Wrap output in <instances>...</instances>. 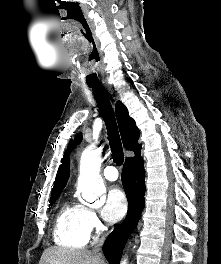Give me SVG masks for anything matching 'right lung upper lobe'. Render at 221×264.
Returning a JSON list of instances; mask_svg holds the SVG:
<instances>
[{
    "instance_id": "1",
    "label": "right lung upper lobe",
    "mask_w": 221,
    "mask_h": 264,
    "mask_svg": "<svg viewBox=\"0 0 221 264\" xmlns=\"http://www.w3.org/2000/svg\"><path fill=\"white\" fill-rule=\"evenodd\" d=\"M117 121L125 149L134 151L136 157H140L141 145L138 144L140 131L136 127L135 121L129 116L128 110L121 101H117L115 105ZM82 139V134L78 133L75 137V141H71L68 145V149L65 152L61 165L59 166L54 188L51 198L59 196L65 187L69 178V157L68 153L74 148L76 144H79ZM130 159V158H127ZM126 159V160H127Z\"/></svg>"
}]
</instances>
